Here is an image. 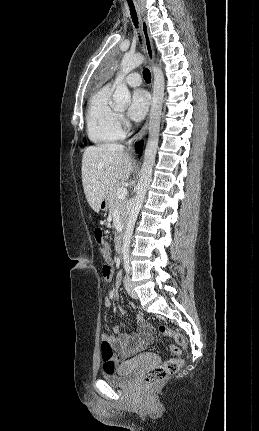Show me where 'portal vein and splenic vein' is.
I'll use <instances>...</instances> for the list:
<instances>
[{"mask_svg":"<svg viewBox=\"0 0 259 431\" xmlns=\"http://www.w3.org/2000/svg\"><path fill=\"white\" fill-rule=\"evenodd\" d=\"M128 194L127 188L120 187L117 189L116 195L119 199H124Z\"/></svg>","mask_w":259,"mask_h":431,"instance_id":"1","label":"portal vein and splenic vein"}]
</instances>
